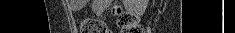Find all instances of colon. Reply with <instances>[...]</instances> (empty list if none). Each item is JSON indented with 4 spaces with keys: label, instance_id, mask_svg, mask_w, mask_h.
<instances>
[{
    "label": "colon",
    "instance_id": "1",
    "mask_svg": "<svg viewBox=\"0 0 235 33\" xmlns=\"http://www.w3.org/2000/svg\"><path fill=\"white\" fill-rule=\"evenodd\" d=\"M113 13L117 16V22L122 33H142L143 28L134 15L125 12L121 7L116 6ZM80 33H112L108 25L95 18H82L79 21Z\"/></svg>",
    "mask_w": 235,
    "mask_h": 33
}]
</instances>
